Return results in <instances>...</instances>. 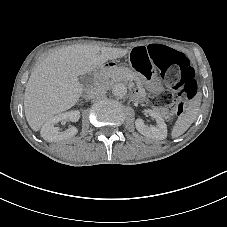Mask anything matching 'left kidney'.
Instances as JSON below:
<instances>
[{
    "label": "left kidney",
    "mask_w": 227,
    "mask_h": 227,
    "mask_svg": "<svg viewBox=\"0 0 227 227\" xmlns=\"http://www.w3.org/2000/svg\"><path fill=\"white\" fill-rule=\"evenodd\" d=\"M145 112L149 113L156 120L157 125L146 126L144 121L138 118L135 121L138 132L151 139L164 140L167 137V125L162 116L158 112L152 110H145Z\"/></svg>",
    "instance_id": "obj_1"
}]
</instances>
